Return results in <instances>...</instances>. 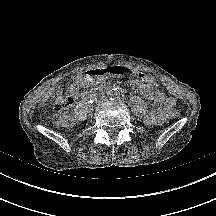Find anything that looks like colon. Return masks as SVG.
I'll return each instance as SVG.
<instances>
[{"label":"colon","instance_id":"5ec220e1","mask_svg":"<svg viewBox=\"0 0 216 216\" xmlns=\"http://www.w3.org/2000/svg\"><path fill=\"white\" fill-rule=\"evenodd\" d=\"M72 93L69 90V94L62 91H57L53 96V106H54V123L63 129H68L73 125V118L69 112L70 106L72 104ZM168 116L171 118H178L180 112L177 109H172L168 112Z\"/></svg>","mask_w":216,"mask_h":216}]
</instances>
